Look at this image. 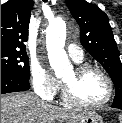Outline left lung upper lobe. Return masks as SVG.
<instances>
[{
    "label": "left lung upper lobe",
    "mask_w": 122,
    "mask_h": 123,
    "mask_svg": "<svg viewBox=\"0 0 122 123\" xmlns=\"http://www.w3.org/2000/svg\"><path fill=\"white\" fill-rule=\"evenodd\" d=\"M80 26L83 47L104 67L115 85V101H122V64L108 16L85 0H66Z\"/></svg>",
    "instance_id": "5c2ea615"
}]
</instances>
